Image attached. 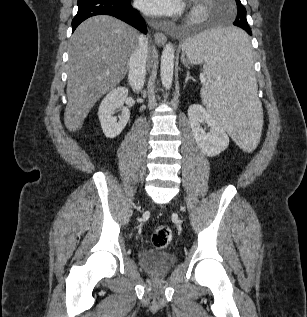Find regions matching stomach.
I'll return each instance as SVG.
<instances>
[{"label": "stomach", "mask_w": 307, "mask_h": 317, "mask_svg": "<svg viewBox=\"0 0 307 317\" xmlns=\"http://www.w3.org/2000/svg\"><path fill=\"white\" fill-rule=\"evenodd\" d=\"M183 62H184V63H186V64L188 63V62H187V60H186V59H184V58H183Z\"/></svg>", "instance_id": "obj_1"}]
</instances>
